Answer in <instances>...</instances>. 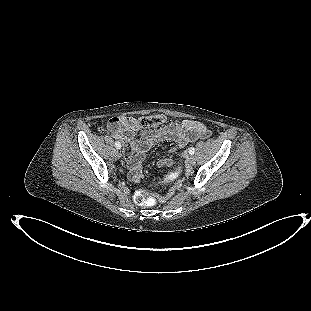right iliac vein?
I'll return each instance as SVG.
<instances>
[{
	"label": "right iliac vein",
	"mask_w": 311,
	"mask_h": 311,
	"mask_svg": "<svg viewBox=\"0 0 311 311\" xmlns=\"http://www.w3.org/2000/svg\"><path fill=\"white\" fill-rule=\"evenodd\" d=\"M112 156H113V157L118 156V151L114 150V151L112 152Z\"/></svg>",
	"instance_id": "1"
}]
</instances>
